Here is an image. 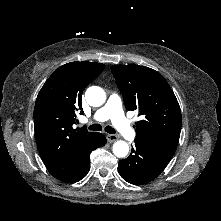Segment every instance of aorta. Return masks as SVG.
Instances as JSON below:
<instances>
[{"label": "aorta", "mask_w": 221, "mask_h": 221, "mask_svg": "<svg viewBox=\"0 0 221 221\" xmlns=\"http://www.w3.org/2000/svg\"><path fill=\"white\" fill-rule=\"evenodd\" d=\"M85 98L89 105L98 107L104 104L106 100L105 91L98 86H91L86 90ZM112 151L115 156L123 158L129 152L128 144L123 140H118L113 144Z\"/></svg>", "instance_id": "aorta-1"}]
</instances>
